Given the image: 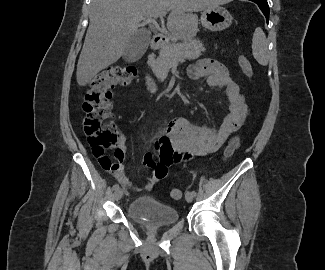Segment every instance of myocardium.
Segmentation results:
<instances>
[{
    "mask_svg": "<svg viewBox=\"0 0 325 270\" xmlns=\"http://www.w3.org/2000/svg\"><path fill=\"white\" fill-rule=\"evenodd\" d=\"M216 2H225V1H229V0H215Z\"/></svg>",
    "mask_w": 325,
    "mask_h": 270,
    "instance_id": "myocardium-1",
    "label": "myocardium"
}]
</instances>
